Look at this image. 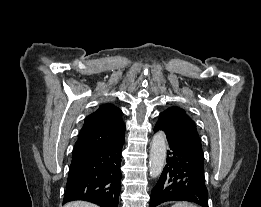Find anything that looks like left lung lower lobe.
I'll return each instance as SVG.
<instances>
[{"mask_svg":"<svg viewBox=\"0 0 261 207\" xmlns=\"http://www.w3.org/2000/svg\"><path fill=\"white\" fill-rule=\"evenodd\" d=\"M157 131L166 134L169 149L167 164L151 192L149 207H156L167 201H189L208 207L204 161L189 152L159 123L154 127V132Z\"/></svg>","mask_w":261,"mask_h":207,"instance_id":"obj_1","label":"left lung lower lobe"}]
</instances>
